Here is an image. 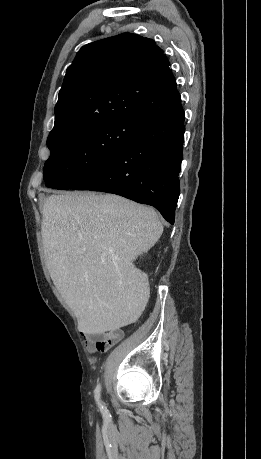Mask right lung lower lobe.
Segmentation results:
<instances>
[{
  "mask_svg": "<svg viewBox=\"0 0 261 459\" xmlns=\"http://www.w3.org/2000/svg\"><path fill=\"white\" fill-rule=\"evenodd\" d=\"M184 131L180 103L144 124L119 154L71 189L113 193L154 206L173 224Z\"/></svg>",
  "mask_w": 261,
  "mask_h": 459,
  "instance_id": "right-lung-lower-lobe-1",
  "label": "right lung lower lobe"
}]
</instances>
